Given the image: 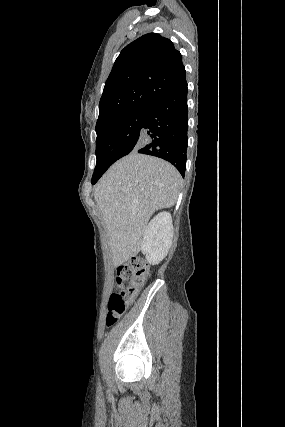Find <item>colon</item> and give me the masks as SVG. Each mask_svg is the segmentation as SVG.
<instances>
[{"mask_svg": "<svg viewBox=\"0 0 285 427\" xmlns=\"http://www.w3.org/2000/svg\"><path fill=\"white\" fill-rule=\"evenodd\" d=\"M150 274V265L144 259L131 258L115 271L116 289L108 299L105 324L113 326L137 297Z\"/></svg>", "mask_w": 285, "mask_h": 427, "instance_id": "5ec220e1", "label": "colon"}]
</instances>
